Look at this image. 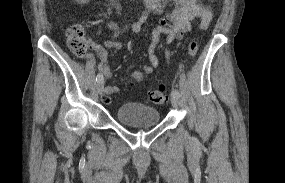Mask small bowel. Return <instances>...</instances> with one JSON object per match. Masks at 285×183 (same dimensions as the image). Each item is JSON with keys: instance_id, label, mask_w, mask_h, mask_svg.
Instances as JSON below:
<instances>
[{"instance_id": "obj_1", "label": "small bowel", "mask_w": 285, "mask_h": 183, "mask_svg": "<svg viewBox=\"0 0 285 183\" xmlns=\"http://www.w3.org/2000/svg\"><path fill=\"white\" fill-rule=\"evenodd\" d=\"M212 1V0H209ZM146 13L142 20L150 13L159 17L158 24L153 29L152 42L147 49L148 63L142 66L141 71H134L133 77L141 81L144 75H149L159 66V59L155 54L156 47L159 43L161 35L166 36V44L169 45L173 41L182 42L185 35L191 31V22L198 18L200 20V28L206 29L211 20L212 12L203 2V0H145ZM140 23L133 27L134 32L140 30ZM108 28L112 32L110 39L105 43L106 47L120 49L122 44L117 40L118 27L116 23L109 22ZM92 53L88 58L97 57L99 60L98 69L106 78L110 77V69L108 67V54L101 45L94 44ZM119 88L115 85H106L102 102L109 103L110 96L117 93Z\"/></svg>"}]
</instances>
